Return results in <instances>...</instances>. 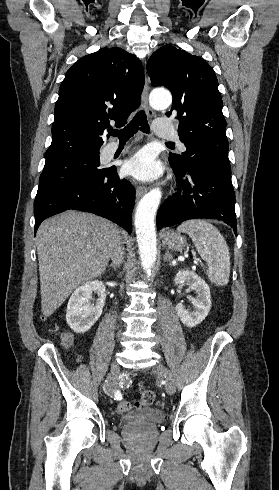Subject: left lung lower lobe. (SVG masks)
<instances>
[{"label": "left lung lower lobe", "instance_id": "0a47b994", "mask_svg": "<svg viewBox=\"0 0 279 490\" xmlns=\"http://www.w3.org/2000/svg\"><path fill=\"white\" fill-rule=\"evenodd\" d=\"M171 165L178 189L161 205L157 230L189 219L205 218L224 221L237 236L231 168L210 160L190 162L184 169Z\"/></svg>", "mask_w": 279, "mask_h": 490}]
</instances>
